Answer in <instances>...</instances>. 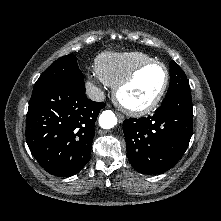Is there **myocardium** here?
Returning a JSON list of instances; mask_svg holds the SVG:
<instances>
[{
  "mask_svg": "<svg viewBox=\"0 0 221 221\" xmlns=\"http://www.w3.org/2000/svg\"><path fill=\"white\" fill-rule=\"evenodd\" d=\"M160 66L165 73L164 82L162 84V87L156 94V96L146 105L143 106H131L124 102V100L121 97V92L124 90L127 86H129L138 76V74L143 71L144 69L151 67V66ZM170 81V74L169 70L166 67V65L160 61L157 60H150L147 62H144L137 67H135L128 75H126L115 87L113 92V99L114 102L126 113L132 115V116H143L146 114H149L152 112L161 102L163 99Z\"/></svg>",
  "mask_w": 221,
  "mask_h": 221,
  "instance_id": "1",
  "label": "myocardium"
}]
</instances>
